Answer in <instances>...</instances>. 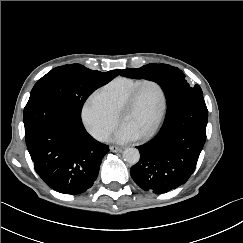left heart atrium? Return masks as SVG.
Returning <instances> with one entry per match:
<instances>
[{"mask_svg": "<svg viewBox=\"0 0 243 243\" xmlns=\"http://www.w3.org/2000/svg\"><path fill=\"white\" fill-rule=\"evenodd\" d=\"M139 134L126 124H122L114 133L112 139L118 143L133 141Z\"/></svg>", "mask_w": 243, "mask_h": 243, "instance_id": "1", "label": "left heart atrium"}]
</instances>
